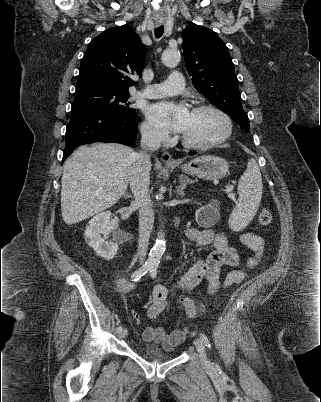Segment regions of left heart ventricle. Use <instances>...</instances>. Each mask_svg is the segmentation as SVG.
<instances>
[{
	"instance_id": "b2bd125f",
	"label": "left heart ventricle",
	"mask_w": 321,
	"mask_h": 402,
	"mask_svg": "<svg viewBox=\"0 0 321 402\" xmlns=\"http://www.w3.org/2000/svg\"><path fill=\"white\" fill-rule=\"evenodd\" d=\"M225 129L220 115L211 110L191 111L182 134L191 141L207 142L218 138Z\"/></svg>"
}]
</instances>
